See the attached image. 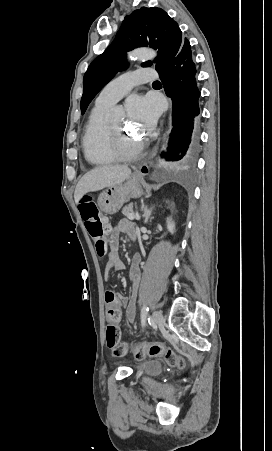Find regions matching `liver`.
I'll return each mask as SVG.
<instances>
[{
	"label": "liver",
	"instance_id": "liver-1",
	"mask_svg": "<svg viewBox=\"0 0 272 451\" xmlns=\"http://www.w3.org/2000/svg\"><path fill=\"white\" fill-rule=\"evenodd\" d=\"M130 174L131 170L128 166H100V168L90 170L84 174L75 188V204H79L82 196H85L87 192H96V190L120 184L127 180Z\"/></svg>",
	"mask_w": 272,
	"mask_h": 451
}]
</instances>
